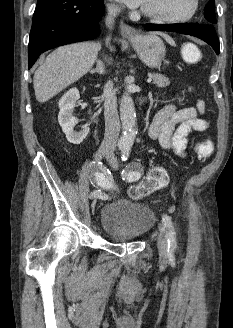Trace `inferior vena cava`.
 Masks as SVG:
<instances>
[{
    "label": "inferior vena cava",
    "mask_w": 233,
    "mask_h": 328,
    "mask_svg": "<svg viewBox=\"0 0 233 328\" xmlns=\"http://www.w3.org/2000/svg\"><path fill=\"white\" fill-rule=\"evenodd\" d=\"M120 12V8L115 5L108 6V17L106 24L108 27H112L114 23V17ZM109 38L107 39V42ZM104 118H105V134L101 143V150L106 153L113 154L120 132V121L117 111L116 95L113 92V83L107 82L104 87Z\"/></svg>",
    "instance_id": "inferior-vena-cava-1"
}]
</instances>
